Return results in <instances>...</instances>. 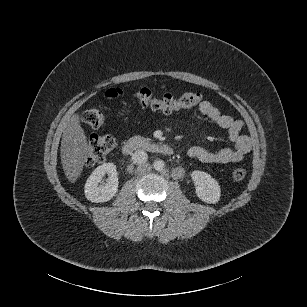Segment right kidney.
Masks as SVG:
<instances>
[{
  "label": "right kidney",
  "instance_id": "obj_1",
  "mask_svg": "<svg viewBox=\"0 0 307 307\" xmlns=\"http://www.w3.org/2000/svg\"><path fill=\"white\" fill-rule=\"evenodd\" d=\"M108 174L106 183L102 177ZM99 183H101L99 185ZM118 191V177L116 166L113 163H104L98 166L87 179L85 196L91 202H106L112 199Z\"/></svg>",
  "mask_w": 307,
  "mask_h": 307
}]
</instances>
